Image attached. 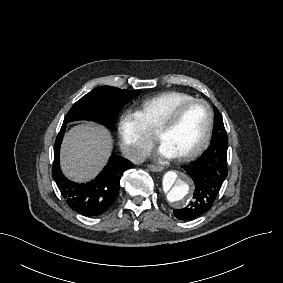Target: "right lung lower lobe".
<instances>
[{"mask_svg": "<svg viewBox=\"0 0 283 283\" xmlns=\"http://www.w3.org/2000/svg\"><path fill=\"white\" fill-rule=\"evenodd\" d=\"M65 129L66 124H63L55 141L52 177L70 208L88 217L101 215L115 201L120 189V178L133 164L124 158L111 156L103 171L93 181L77 184L68 180L59 163Z\"/></svg>", "mask_w": 283, "mask_h": 283, "instance_id": "right-lung-lower-lobe-1", "label": "right lung lower lobe"}]
</instances>
